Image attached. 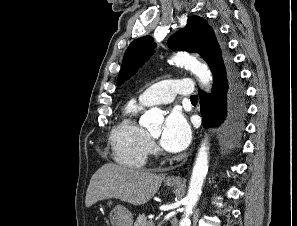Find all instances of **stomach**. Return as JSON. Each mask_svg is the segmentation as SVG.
<instances>
[{"instance_id":"stomach-1","label":"stomach","mask_w":297,"mask_h":226,"mask_svg":"<svg viewBox=\"0 0 297 226\" xmlns=\"http://www.w3.org/2000/svg\"><path fill=\"white\" fill-rule=\"evenodd\" d=\"M168 186L172 187L175 183H167ZM112 202L109 201L107 205H111ZM110 221L112 226H132L133 215L122 205L115 206L110 213Z\"/></svg>"}]
</instances>
